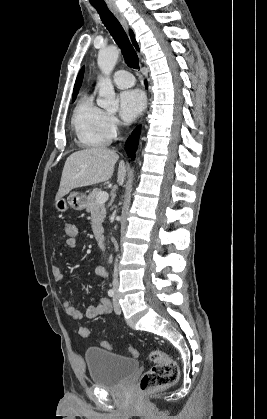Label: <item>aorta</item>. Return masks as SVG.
<instances>
[{"label":"aorta","instance_id":"aorta-1","mask_svg":"<svg viewBox=\"0 0 267 419\" xmlns=\"http://www.w3.org/2000/svg\"><path fill=\"white\" fill-rule=\"evenodd\" d=\"M119 50L114 47L101 49L98 53V66L105 78L97 83L99 88V99L97 104L108 110H117L119 101L116 99L114 87L110 79V74L113 71L118 60Z\"/></svg>","mask_w":267,"mask_h":419}]
</instances>
